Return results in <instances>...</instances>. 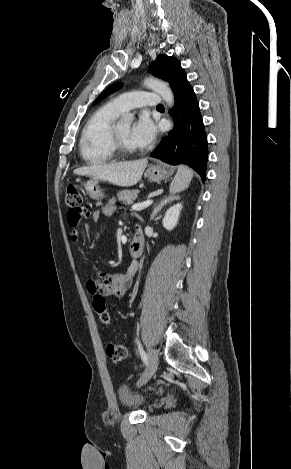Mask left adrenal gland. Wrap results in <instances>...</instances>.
<instances>
[{
    "label": "left adrenal gland",
    "instance_id": "a2214340",
    "mask_svg": "<svg viewBox=\"0 0 291 469\" xmlns=\"http://www.w3.org/2000/svg\"><path fill=\"white\" fill-rule=\"evenodd\" d=\"M179 196L175 195H170V196H164V198L159 202V204H155L153 212L151 213L150 220L154 219V217L157 215V213L168 203L174 201V200H179Z\"/></svg>",
    "mask_w": 291,
    "mask_h": 469
}]
</instances>
